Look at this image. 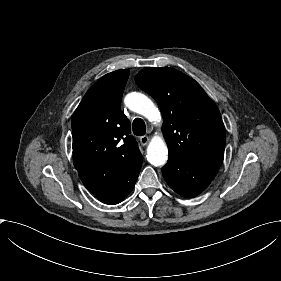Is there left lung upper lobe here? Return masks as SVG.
<instances>
[{"label":"left lung upper lobe","mask_w":281,"mask_h":281,"mask_svg":"<svg viewBox=\"0 0 281 281\" xmlns=\"http://www.w3.org/2000/svg\"><path fill=\"white\" fill-rule=\"evenodd\" d=\"M135 81L160 107L169 157L221 165L225 128L217 106L195 80L174 68L148 67Z\"/></svg>","instance_id":"obj_1"}]
</instances>
